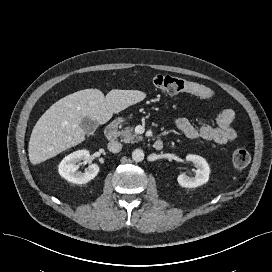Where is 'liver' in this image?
Here are the masks:
<instances>
[{
	"label": "liver",
	"instance_id": "obj_1",
	"mask_svg": "<svg viewBox=\"0 0 272 272\" xmlns=\"http://www.w3.org/2000/svg\"><path fill=\"white\" fill-rule=\"evenodd\" d=\"M146 93L118 90L106 96L98 89H85L67 95L54 103L35 124L28 146L33 165L42 163L85 140L81 122L88 117L105 124L114 113L141 102Z\"/></svg>",
	"mask_w": 272,
	"mask_h": 272
}]
</instances>
